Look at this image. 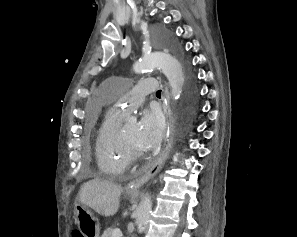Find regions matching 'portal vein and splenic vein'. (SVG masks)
<instances>
[{
	"label": "portal vein and splenic vein",
	"mask_w": 297,
	"mask_h": 237,
	"mask_svg": "<svg viewBox=\"0 0 297 237\" xmlns=\"http://www.w3.org/2000/svg\"><path fill=\"white\" fill-rule=\"evenodd\" d=\"M112 237H122V232L120 229H115L112 233Z\"/></svg>",
	"instance_id": "1"
}]
</instances>
